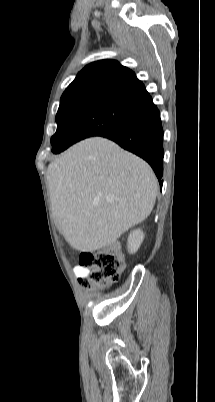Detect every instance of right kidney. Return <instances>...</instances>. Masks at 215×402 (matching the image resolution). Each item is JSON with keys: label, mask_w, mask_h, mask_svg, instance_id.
<instances>
[{"label": "right kidney", "mask_w": 215, "mask_h": 402, "mask_svg": "<svg viewBox=\"0 0 215 402\" xmlns=\"http://www.w3.org/2000/svg\"><path fill=\"white\" fill-rule=\"evenodd\" d=\"M144 239V233L140 230H134L130 233L128 237V251L130 253H135Z\"/></svg>", "instance_id": "ca27d5eb"}]
</instances>
